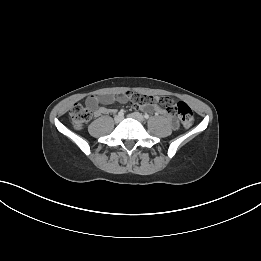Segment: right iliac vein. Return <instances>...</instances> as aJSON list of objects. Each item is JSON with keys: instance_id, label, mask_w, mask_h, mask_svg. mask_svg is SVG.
Listing matches in <instances>:
<instances>
[{"instance_id": "right-iliac-vein-1", "label": "right iliac vein", "mask_w": 261, "mask_h": 261, "mask_svg": "<svg viewBox=\"0 0 261 261\" xmlns=\"http://www.w3.org/2000/svg\"><path fill=\"white\" fill-rule=\"evenodd\" d=\"M122 119H123V117L120 116V115H116V116L114 117V121H115L116 123L121 122Z\"/></svg>"}]
</instances>
